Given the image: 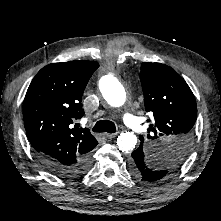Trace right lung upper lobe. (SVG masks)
Masks as SVG:
<instances>
[{"instance_id":"cb5924a9","label":"right lung upper lobe","mask_w":221,"mask_h":221,"mask_svg":"<svg viewBox=\"0 0 221 221\" xmlns=\"http://www.w3.org/2000/svg\"><path fill=\"white\" fill-rule=\"evenodd\" d=\"M98 67L96 61L54 63L34 77L24 99L23 117L37 155L73 163L97 146L89 129L73 123L83 116L82 94Z\"/></svg>"}]
</instances>
